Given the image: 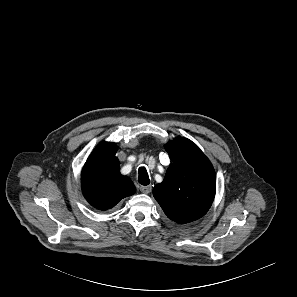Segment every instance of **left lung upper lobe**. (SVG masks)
I'll return each mask as SVG.
<instances>
[{"label":"left lung upper lobe","instance_id":"5c2ea615","mask_svg":"<svg viewBox=\"0 0 297 297\" xmlns=\"http://www.w3.org/2000/svg\"><path fill=\"white\" fill-rule=\"evenodd\" d=\"M173 161L153 195L169 219L179 224L195 221L209 210L216 192L215 171L203 152L189 139L177 137L165 145Z\"/></svg>","mask_w":297,"mask_h":297}]
</instances>
